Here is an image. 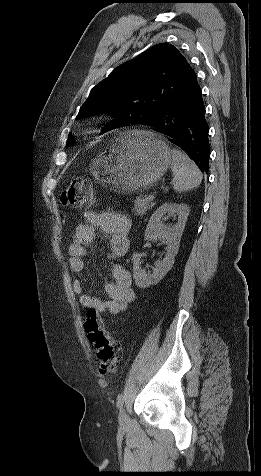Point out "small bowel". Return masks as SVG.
<instances>
[{"mask_svg": "<svg viewBox=\"0 0 261 476\" xmlns=\"http://www.w3.org/2000/svg\"><path fill=\"white\" fill-rule=\"evenodd\" d=\"M85 220V223L76 227L68 249L70 268L76 273L84 271L86 248L95 243L98 235L101 234L108 237L107 259L111 263L113 280L105 285L109 298L106 301L87 294L84 283L80 279L73 282V290L80 295V303L85 308L94 309L98 313L106 311L111 314L121 313L127 309L135 297L130 272L117 263L128 250L131 221L126 215L120 213L94 211L86 212Z\"/></svg>", "mask_w": 261, "mask_h": 476, "instance_id": "1", "label": "small bowel"}]
</instances>
